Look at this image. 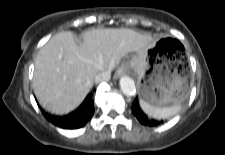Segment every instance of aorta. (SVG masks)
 I'll return each instance as SVG.
<instances>
[{"label":"aorta","instance_id":"762f6f07","mask_svg":"<svg viewBox=\"0 0 225 155\" xmlns=\"http://www.w3.org/2000/svg\"><path fill=\"white\" fill-rule=\"evenodd\" d=\"M119 84H120L121 91L125 95H134L135 94L136 87H135L134 80L132 78L123 76V77H121Z\"/></svg>","mask_w":225,"mask_h":155}]
</instances>
